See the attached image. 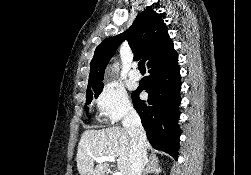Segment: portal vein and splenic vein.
Returning a JSON list of instances; mask_svg holds the SVG:
<instances>
[{
    "label": "portal vein and splenic vein",
    "instance_id": "1",
    "mask_svg": "<svg viewBox=\"0 0 251 175\" xmlns=\"http://www.w3.org/2000/svg\"><path fill=\"white\" fill-rule=\"evenodd\" d=\"M95 161H97V163H101V161H115V157H113V155H102V157H94ZM113 175H123V173H121V171H114Z\"/></svg>",
    "mask_w": 251,
    "mask_h": 175
}]
</instances>
